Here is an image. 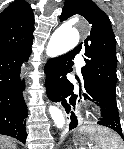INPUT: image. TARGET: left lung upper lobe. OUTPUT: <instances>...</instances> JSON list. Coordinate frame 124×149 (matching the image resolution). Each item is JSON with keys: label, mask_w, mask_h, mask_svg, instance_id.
Returning <instances> with one entry per match:
<instances>
[{"label": "left lung upper lobe", "mask_w": 124, "mask_h": 149, "mask_svg": "<svg viewBox=\"0 0 124 149\" xmlns=\"http://www.w3.org/2000/svg\"><path fill=\"white\" fill-rule=\"evenodd\" d=\"M82 15L90 24V35L72 51H85L82 75L116 95V40L108 16L92 0H66L60 20Z\"/></svg>", "instance_id": "1"}]
</instances>
